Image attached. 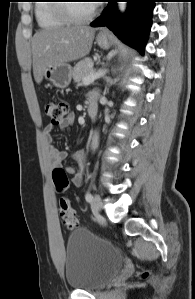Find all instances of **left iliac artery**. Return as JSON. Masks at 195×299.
Listing matches in <instances>:
<instances>
[{
	"label": "left iliac artery",
	"mask_w": 195,
	"mask_h": 299,
	"mask_svg": "<svg viewBox=\"0 0 195 299\" xmlns=\"http://www.w3.org/2000/svg\"><path fill=\"white\" fill-rule=\"evenodd\" d=\"M85 199H86L87 202H91L92 199H93L92 194L87 192L86 195H85Z\"/></svg>",
	"instance_id": "1"
}]
</instances>
